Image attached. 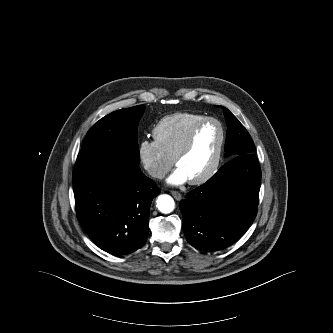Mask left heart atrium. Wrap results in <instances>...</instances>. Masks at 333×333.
<instances>
[{
	"instance_id": "1",
	"label": "left heart atrium",
	"mask_w": 333,
	"mask_h": 333,
	"mask_svg": "<svg viewBox=\"0 0 333 333\" xmlns=\"http://www.w3.org/2000/svg\"><path fill=\"white\" fill-rule=\"evenodd\" d=\"M188 181L186 174L178 167L172 172L167 180L170 185H182Z\"/></svg>"
}]
</instances>
